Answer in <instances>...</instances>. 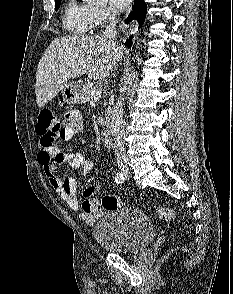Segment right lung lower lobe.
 I'll list each match as a JSON object with an SVG mask.
<instances>
[{
    "mask_svg": "<svg viewBox=\"0 0 233 294\" xmlns=\"http://www.w3.org/2000/svg\"><path fill=\"white\" fill-rule=\"evenodd\" d=\"M146 10L147 6L144 0H135L134 1V7L133 11L130 13L129 17L127 18V22L131 21L132 18H138L139 19V26H142L145 20L146 16ZM126 46L131 47L132 45V36L128 41L125 43Z\"/></svg>",
    "mask_w": 233,
    "mask_h": 294,
    "instance_id": "obj_1",
    "label": "right lung lower lobe"
}]
</instances>
